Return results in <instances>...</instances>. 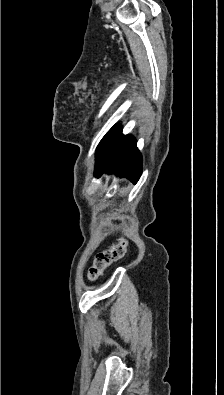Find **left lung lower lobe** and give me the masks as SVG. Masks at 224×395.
I'll list each match as a JSON object with an SVG mask.
<instances>
[{"label": "left lung lower lobe", "mask_w": 224, "mask_h": 395, "mask_svg": "<svg viewBox=\"0 0 224 395\" xmlns=\"http://www.w3.org/2000/svg\"><path fill=\"white\" fill-rule=\"evenodd\" d=\"M95 175L115 173L137 182L142 170V159L135 139L123 135L115 125L101 140L96 153Z\"/></svg>", "instance_id": "left-lung-lower-lobe-1"}]
</instances>
